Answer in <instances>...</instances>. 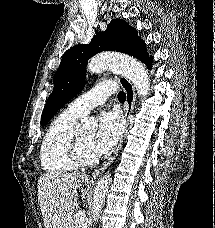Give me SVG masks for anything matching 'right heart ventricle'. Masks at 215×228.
<instances>
[{
  "mask_svg": "<svg viewBox=\"0 0 215 228\" xmlns=\"http://www.w3.org/2000/svg\"><path fill=\"white\" fill-rule=\"evenodd\" d=\"M79 119V116L66 109L48 126L40 147V161L45 172L64 174L76 169L77 166L69 154L68 144Z\"/></svg>",
  "mask_w": 215,
  "mask_h": 228,
  "instance_id": "obj_1",
  "label": "right heart ventricle"
}]
</instances>
